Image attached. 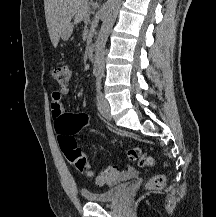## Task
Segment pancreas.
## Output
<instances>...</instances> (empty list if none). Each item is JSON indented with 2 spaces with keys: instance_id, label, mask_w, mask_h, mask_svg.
Masks as SVG:
<instances>
[{
  "instance_id": "pancreas-1",
  "label": "pancreas",
  "mask_w": 216,
  "mask_h": 217,
  "mask_svg": "<svg viewBox=\"0 0 216 217\" xmlns=\"http://www.w3.org/2000/svg\"><path fill=\"white\" fill-rule=\"evenodd\" d=\"M89 14V8L86 4L82 5L80 9L77 11V14L75 15L74 21L76 23H79L81 21L86 22V16Z\"/></svg>"
}]
</instances>
